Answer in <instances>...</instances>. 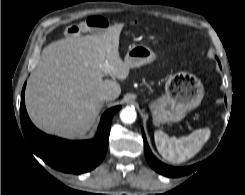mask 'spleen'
<instances>
[{
    "label": "spleen",
    "instance_id": "obj_1",
    "mask_svg": "<svg viewBox=\"0 0 245 195\" xmlns=\"http://www.w3.org/2000/svg\"><path fill=\"white\" fill-rule=\"evenodd\" d=\"M210 129H199L188 136L170 138L161 130L154 133L155 144L161 156L171 163H182L195 156L207 142Z\"/></svg>",
    "mask_w": 245,
    "mask_h": 195
}]
</instances>
